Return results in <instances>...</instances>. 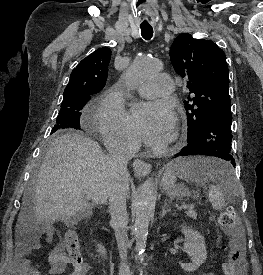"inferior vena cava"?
Here are the masks:
<instances>
[{
    "mask_svg": "<svg viewBox=\"0 0 263 275\" xmlns=\"http://www.w3.org/2000/svg\"><path fill=\"white\" fill-rule=\"evenodd\" d=\"M108 152L112 176L109 192V212L121 259L119 275H131L126 263L127 249L129 247L127 235L128 216L126 211V196L129 190L127 164L134 156L135 149L130 140L122 138L109 145Z\"/></svg>",
    "mask_w": 263,
    "mask_h": 275,
    "instance_id": "1",
    "label": "inferior vena cava"
}]
</instances>
